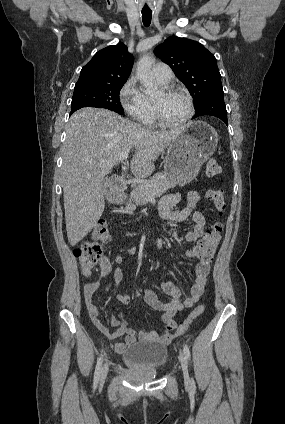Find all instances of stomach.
Here are the masks:
<instances>
[{
  "mask_svg": "<svg viewBox=\"0 0 285 424\" xmlns=\"http://www.w3.org/2000/svg\"><path fill=\"white\" fill-rule=\"evenodd\" d=\"M218 143L216 130L203 121L189 123L168 146L164 173L177 185H185L214 153Z\"/></svg>",
  "mask_w": 285,
  "mask_h": 424,
  "instance_id": "0dacf381",
  "label": "stomach"
}]
</instances>
